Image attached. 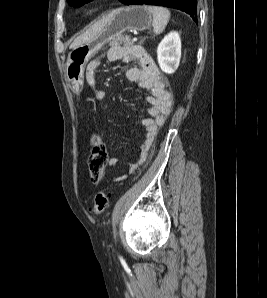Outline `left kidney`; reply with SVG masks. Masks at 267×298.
<instances>
[{"label": "left kidney", "mask_w": 267, "mask_h": 298, "mask_svg": "<svg viewBox=\"0 0 267 298\" xmlns=\"http://www.w3.org/2000/svg\"><path fill=\"white\" fill-rule=\"evenodd\" d=\"M181 40L178 32L171 31L157 47V60L161 70L167 74L174 73L180 63Z\"/></svg>", "instance_id": "left-kidney-1"}]
</instances>
